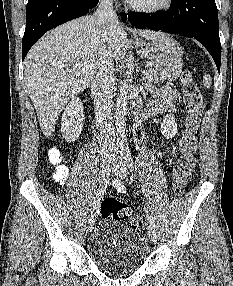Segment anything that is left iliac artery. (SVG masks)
Here are the masks:
<instances>
[{
	"mask_svg": "<svg viewBox=\"0 0 233 286\" xmlns=\"http://www.w3.org/2000/svg\"><path fill=\"white\" fill-rule=\"evenodd\" d=\"M122 151H123V155H124V159H125L124 162L127 165V167L132 171L133 170V159L131 157V153H130L128 146H124L122 148ZM145 213H146L147 220H148L150 226L155 228L156 225H155L154 218L148 214L147 210H145Z\"/></svg>",
	"mask_w": 233,
	"mask_h": 286,
	"instance_id": "left-iliac-artery-1",
	"label": "left iliac artery"
}]
</instances>
